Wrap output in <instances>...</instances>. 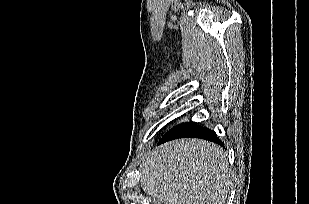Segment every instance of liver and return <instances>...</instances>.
<instances>
[{
  "instance_id": "6515ba94",
  "label": "liver",
  "mask_w": 309,
  "mask_h": 204,
  "mask_svg": "<svg viewBox=\"0 0 309 204\" xmlns=\"http://www.w3.org/2000/svg\"><path fill=\"white\" fill-rule=\"evenodd\" d=\"M227 153L202 139L156 147L141 164V186L157 204H225L231 186Z\"/></svg>"
}]
</instances>
